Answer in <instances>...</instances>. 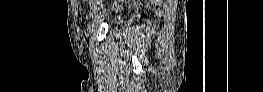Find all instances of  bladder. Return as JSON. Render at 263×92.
Returning <instances> with one entry per match:
<instances>
[{
    "label": "bladder",
    "instance_id": "obj_1",
    "mask_svg": "<svg viewBox=\"0 0 263 92\" xmlns=\"http://www.w3.org/2000/svg\"><path fill=\"white\" fill-rule=\"evenodd\" d=\"M111 22L114 24H120L125 22V16L123 14H115L111 17Z\"/></svg>",
    "mask_w": 263,
    "mask_h": 92
}]
</instances>
